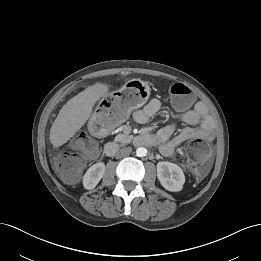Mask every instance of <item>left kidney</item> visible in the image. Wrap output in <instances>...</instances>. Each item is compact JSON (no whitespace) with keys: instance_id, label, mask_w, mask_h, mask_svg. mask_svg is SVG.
I'll return each instance as SVG.
<instances>
[{"instance_id":"obj_1","label":"left kidney","mask_w":261,"mask_h":261,"mask_svg":"<svg viewBox=\"0 0 261 261\" xmlns=\"http://www.w3.org/2000/svg\"><path fill=\"white\" fill-rule=\"evenodd\" d=\"M157 178L168 191L179 192L185 183L183 170L176 164L161 161L157 163Z\"/></svg>"}]
</instances>
